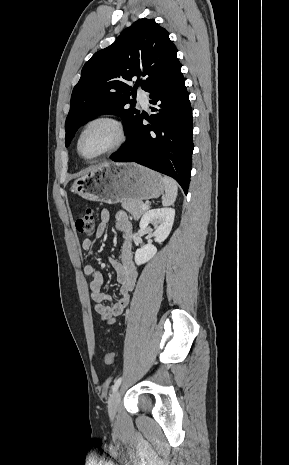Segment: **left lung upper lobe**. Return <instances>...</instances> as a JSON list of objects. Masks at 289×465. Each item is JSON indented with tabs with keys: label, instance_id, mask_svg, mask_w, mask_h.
I'll return each instance as SVG.
<instances>
[{
	"label": "left lung upper lobe",
	"instance_id": "obj_1",
	"mask_svg": "<svg viewBox=\"0 0 289 465\" xmlns=\"http://www.w3.org/2000/svg\"><path fill=\"white\" fill-rule=\"evenodd\" d=\"M177 49L168 32L154 19H139L126 28L109 47L86 62L73 89L65 130L68 146L77 129L101 114L126 120L128 134L140 111L130 100L139 86L146 90L180 66ZM135 79L134 87L128 81ZM131 104L130 108H126Z\"/></svg>",
	"mask_w": 289,
	"mask_h": 465
}]
</instances>
